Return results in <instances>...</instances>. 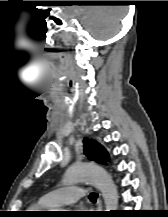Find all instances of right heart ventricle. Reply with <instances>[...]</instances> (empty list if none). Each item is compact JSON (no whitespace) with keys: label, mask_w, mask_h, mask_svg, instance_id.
I'll return each instance as SVG.
<instances>
[{"label":"right heart ventricle","mask_w":168,"mask_h":217,"mask_svg":"<svg viewBox=\"0 0 168 217\" xmlns=\"http://www.w3.org/2000/svg\"><path fill=\"white\" fill-rule=\"evenodd\" d=\"M46 208H49V207L44 205V203L41 200H39L38 202H36V203L32 204L31 206H29L28 210H29V212L31 214H34V213H36L38 211H42V210H44Z\"/></svg>","instance_id":"obj_1"}]
</instances>
